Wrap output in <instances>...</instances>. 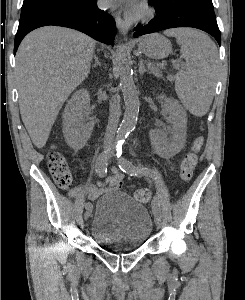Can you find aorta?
I'll list each match as a JSON object with an SVG mask.
<instances>
[{"instance_id": "1", "label": "aorta", "mask_w": 245, "mask_h": 300, "mask_svg": "<svg viewBox=\"0 0 245 300\" xmlns=\"http://www.w3.org/2000/svg\"><path fill=\"white\" fill-rule=\"evenodd\" d=\"M117 56L119 60V86L122 90L125 102L124 118L117 131L115 140V144L120 145L127 135L135 128L139 113V98L130 68L124 65L121 46L117 47Z\"/></svg>"}]
</instances>
